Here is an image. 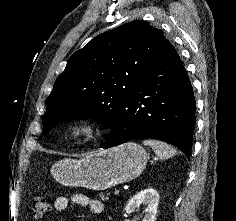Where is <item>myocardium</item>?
Masks as SVG:
<instances>
[{
    "instance_id": "1",
    "label": "myocardium",
    "mask_w": 236,
    "mask_h": 221,
    "mask_svg": "<svg viewBox=\"0 0 236 221\" xmlns=\"http://www.w3.org/2000/svg\"><path fill=\"white\" fill-rule=\"evenodd\" d=\"M101 132L100 124L91 118L73 121L66 129V137L74 143L87 141Z\"/></svg>"
}]
</instances>
